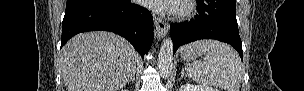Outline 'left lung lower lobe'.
Instances as JSON below:
<instances>
[{"instance_id":"1","label":"left lung lower lobe","mask_w":304,"mask_h":91,"mask_svg":"<svg viewBox=\"0 0 304 91\" xmlns=\"http://www.w3.org/2000/svg\"><path fill=\"white\" fill-rule=\"evenodd\" d=\"M195 18L170 25L174 52L183 44L215 39L233 46L241 59L242 43L236 20V0H196Z\"/></svg>"}]
</instances>
